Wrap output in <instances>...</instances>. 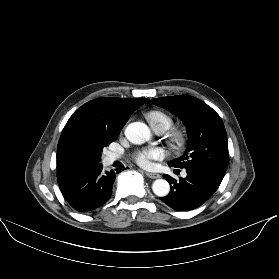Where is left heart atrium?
<instances>
[{"instance_id": "1", "label": "left heart atrium", "mask_w": 279, "mask_h": 279, "mask_svg": "<svg viewBox=\"0 0 279 279\" xmlns=\"http://www.w3.org/2000/svg\"><path fill=\"white\" fill-rule=\"evenodd\" d=\"M166 153L162 147H149L139 149L134 154L135 162L143 168H149L154 160H160Z\"/></svg>"}]
</instances>
